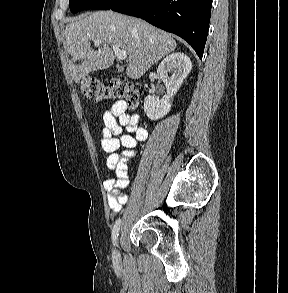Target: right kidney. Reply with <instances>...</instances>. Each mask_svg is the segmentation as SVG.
Wrapping results in <instances>:
<instances>
[{
  "label": "right kidney",
  "mask_w": 288,
  "mask_h": 293,
  "mask_svg": "<svg viewBox=\"0 0 288 293\" xmlns=\"http://www.w3.org/2000/svg\"><path fill=\"white\" fill-rule=\"evenodd\" d=\"M191 69L192 62L184 53H173L163 59L158 66L157 74L167 88V95L161 100L151 95L145 98L144 111L149 119L158 120L170 111L171 101Z\"/></svg>",
  "instance_id": "right-kidney-1"
}]
</instances>
